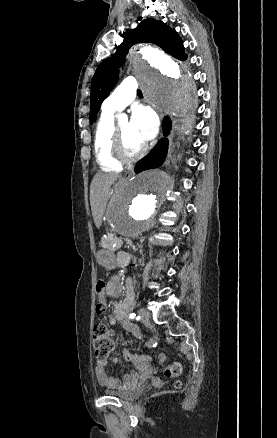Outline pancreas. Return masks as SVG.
Masks as SVG:
<instances>
[{"instance_id": "obj_1", "label": "pancreas", "mask_w": 277, "mask_h": 438, "mask_svg": "<svg viewBox=\"0 0 277 438\" xmlns=\"http://www.w3.org/2000/svg\"><path fill=\"white\" fill-rule=\"evenodd\" d=\"M103 237L101 242L103 248H108L110 251L113 248H124V239H117V235L114 231H105Z\"/></svg>"}]
</instances>
